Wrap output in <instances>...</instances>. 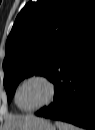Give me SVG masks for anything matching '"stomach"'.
<instances>
[{
  "label": "stomach",
  "mask_w": 95,
  "mask_h": 130,
  "mask_svg": "<svg viewBox=\"0 0 95 130\" xmlns=\"http://www.w3.org/2000/svg\"><path fill=\"white\" fill-rule=\"evenodd\" d=\"M17 130H56L51 122L44 118L33 117Z\"/></svg>",
  "instance_id": "1"
}]
</instances>
